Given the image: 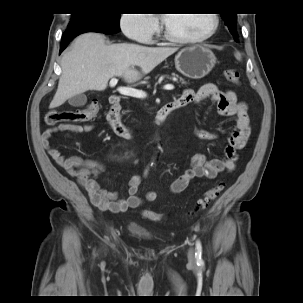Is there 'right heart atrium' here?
I'll return each instance as SVG.
<instances>
[{"label": "right heart atrium", "mask_w": 303, "mask_h": 303, "mask_svg": "<svg viewBox=\"0 0 303 303\" xmlns=\"http://www.w3.org/2000/svg\"><path fill=\"white\" fill-rule=\"evenodd\" d=\"M119 27L123 34L139 43H151L158 31L157 20L149 14H122Z\"/></svg>", "instance_id": "d8ad5b80"}]
</instances>
